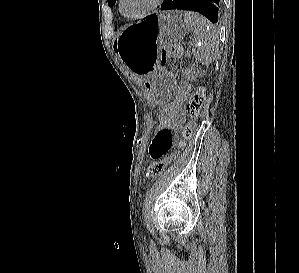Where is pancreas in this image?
I'll return each mask as SVG.
<instances>
[{"label":"pancreas","mask_w":299,"mask_h":273,"mask_svg":"<svg viewBox=\"0 0 299 273\" xmlns=\"http://www.w3.org/2000/svg\"><path fill=\"white\" fill-rule=\"evenodd\" d=\"M182 55H183V53H178V54H177V56H179V57H181ZM185 55H186V56H189V52L187 51V52L185 53Z\"/></svg>","instance_id":"1"}]
</instances>
